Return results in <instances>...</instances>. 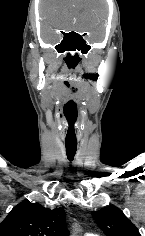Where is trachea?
<instances>
[{"label":"trachea","mask_w":145,"mask_h":236,"mask_svg":"<svg viewBox=\"0 0 145 236\" xmlns=\"http://www.w3.org/2000/svg\"><path fill=\"white\" fill-rule=\"evenodd\" d=\"M65 146L67 157L70 161H72L76 154L77 142H65Z\"/></svg>","instance_id":"obj_1"}]
</instances>
